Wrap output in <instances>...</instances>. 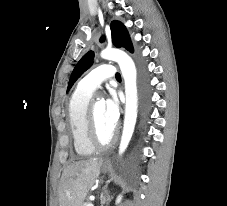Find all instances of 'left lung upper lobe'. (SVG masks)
<instances>
[{"mask_svg":"<svg viewBox=\"0 0 227 206\" xmlns=\"http://www.w3.org/2000/svg\"><path fill=\"white\" fill-rule=\"evenodd\" d=\"M111 37L112 43L118 48H125L130 52H133V46L128 34L126 27L119 21H113L111 23ZM101 42L104 41V37L100 39ZM94 52L89 51L86 53L76 64L68 84L67 92L76 82V80L93 64Z\"/></svg>","mask_w":227,"mask_h":206,"instance_id":"1","label":"left lung upper lobe"}]
</instances>
